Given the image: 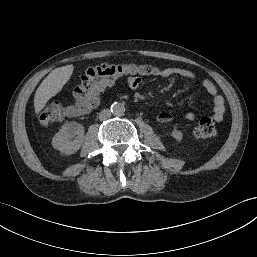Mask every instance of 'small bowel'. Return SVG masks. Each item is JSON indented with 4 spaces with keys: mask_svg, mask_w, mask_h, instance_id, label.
<instances>
[{
    "mask_svg": "<svg viewBox=\"0 0 257 257\" xmlns=\"http://www.w3.org/2000/svg\"><path fill=\"white\" fill-rule=\"evenodd\" d=\"M159 75L163 78L179 77L186 80H195L197 78L195 72L182 67H166L159 71ZM128 85L131 88H138L140 85V79L136 76H131L128 78ZM202 87L212 99L214 119L216 121H221L225 113L224 98L210 80H204L202 82ZM183 118L191 122L195 120V114L193 112H186L184 113ZM155 119L160 123L167 124L172 121L173 116L169 112L163 111L158 113L155 116Z\"/></svg>",
    "mask_w": 257,
    "mask_h": 257,
    "instance_id": "c3829d8e",
    "label": "small bowel"
}]
</instances>
